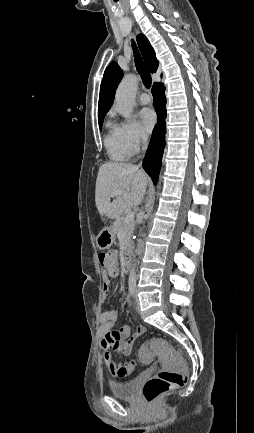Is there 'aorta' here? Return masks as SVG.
I'll list each match as a JSON object with an SVG mask.
<instances>
[{
    "instance_id": "1",
    "label": "aorta",
    "mask_w": 254,
    "mask_h": 433,
    "mask_svg": "<svg viewBox=\"0 0 254 433\" xmlns=\"http://www.w3.org/2000/svg\"><path fill=\"white\" fill-rule=\"evenodd\" d=\"M138 85V78L134 75H127L120 83L116 91V107L118 112L125 117L130 119L132 108L135 102V91ZM137 275L135 270V262L132 264V268L129 274V281L136 282Z\"/></svg>"
}]
</instances>
